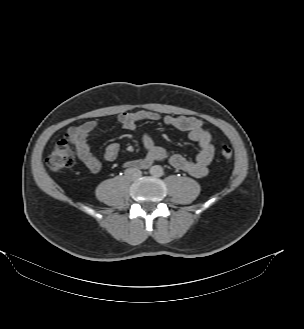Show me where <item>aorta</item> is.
Returning <instances> with one entry per match:
<instances>
[{"mask_svg": "<svg viewBox=\"0 0 304 329\" xmlns=\"http://www.w3.org/2000/svg\"><path fill=\"white\" fill-rule=\"evenodd\" d=\"M150 173L153 176L160 177L163 175V168L160 165H155V166L151 167Z\"/></svg>", "mask_w": 304, "mask_h": 329, "instance_id": "1", "label": "aorta"}]
</instances>
